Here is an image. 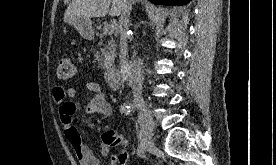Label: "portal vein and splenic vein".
<instances>
[{
  "mask_svg": "<svg viewBox=\"0 0 276 165\" xmlns=\"http://www.w3.org/2000/svg\"><path fill=\"white\" fill-rule=\"evenodd\" d=\"M116 28V24H106L103 28L104 34H112L114 32V29Z\"/></svg>",
  "mask_w": 276,
  "mask_h": 165,
  "instance_id": "1",
  "label": "portal vein and splenic vein"
}]
</instances>
